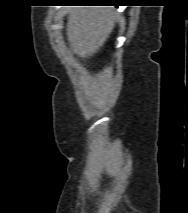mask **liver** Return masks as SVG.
I'll return each instance as SVG.
<instances>
[{
	"mask_svg": "<svg viewBox=\"0 0 188 213\" xmlns=\"http://www.w3.org/2000/svg\"><path fill=\"white\" fill-rule=\"evenodd\" d=\"M112 6H76L70 9L66 35L73 52L82 59L93 56L115 27Z\"/></svg>",
	"mask_w": 188,
	"mask_h": 213,
	"instance_id": "1",
	"label": "liver"
}]
</instances>
